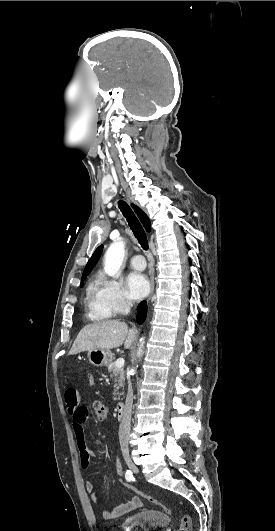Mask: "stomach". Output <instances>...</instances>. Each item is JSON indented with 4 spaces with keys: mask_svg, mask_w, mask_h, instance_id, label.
Returning <instances> with one entry per match:
<instances>
[{
    "mask_svg": "<svg viewBox=\"0 0 275 531\" xmlns=\"http://www.w3.org/2000/svg\"><path fill=\"white\" fill-rule=\"evenodd\" d=\"M88 361L95 367H106L112 361V353L107 349H91L88 351Z\"/></svg>",
    "mask_w": 275,
    "mask_h": 531,
    "instance_id": "1",
    "label": "stomach"
}]
</instances>
